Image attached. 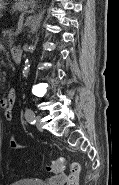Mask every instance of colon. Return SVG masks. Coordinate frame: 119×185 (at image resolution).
I'll list each match as a JSON object with an SVG mask.
<instances>
[{
    "mask_svg": "<svg viewBox=\"0 0 119 185\" xmlns=\"http://www.w3.org/2000/svg\"><path fill=\"white\" fill-rule=\"evenodd\" d=\"M66 158L59 157L47 165V170L53 173H60L65 169ZM81 166L78 162H73L70 165V173L66 179V185H79Z\"/></svg>",
    "mask_w": 119,
    "mask_h": 185,
    "instance_id": "colon-1",
    "label": "colon"
}]
</instances>
